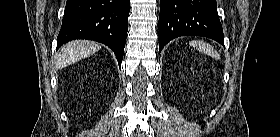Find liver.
Here are the masks:
<instances>
[{
    "label": "liver",
    "instance_id": "obj_1",
    "mask_svg": "<svg viewBox=\"0 0 280 137\" xmlns=\"http://www.w3.org/2000/svg\"><path fill=\"white\" fill-rule=\"evenodd\" d=\"M101 46L93 41L76 40L65 44L57 54L56 69H61L67 65L88 57L97 51Z\"/></svg>",
    "mask_w": 280,
    "mask_h": 137
}]
</instances>
